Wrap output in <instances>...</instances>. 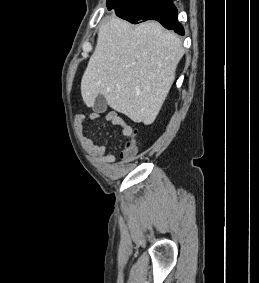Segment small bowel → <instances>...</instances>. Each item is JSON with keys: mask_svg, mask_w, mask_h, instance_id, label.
Instances as JSON below:
<instances>
[{"mask_svg": "<svg viewBox=\"0 0 259 283\" xmlns=\"http://www.w3.org/2000/svg\"><path fill=\"white\" fill-rule=\"evenodd\" d=\"M89 121L95 122L100 119V114L98 112H93L88 116ZM104 120L111 123L114 126H118L122 129L123 135L130 138L134 136L133 128L118 114L115 112H108L104 116ZM111 144L108 140H104L101 143L90 141L89 148L92 152L102 156L103 161L110 164L114 161V156L110 151ZM126 167L124 165H119L116 167L118 173H123Z\"/></svg>", "mask_w": 259, "mask_h": 283, "instance_id": "obj_1", "label": "small bowel"}]
</instances>
